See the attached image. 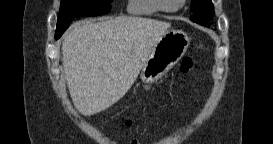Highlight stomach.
I'll return each instance as SVG.
<instances>
[{
    "instance_id": "obj_1",
    "label": "stomach",
    "mask_w": 273,
    "mask_h": 144,
    "mask_svg": "<svg viewBox=\"0 0 273 144\" xmlns=\"http://www.w3.org/2000/svg\"><path fill=\"white\" fill-rule=\"evenodd\" d=\"M189 44L190 39L184 31L167 30L155 43L144 63L141 80L153 83L162 78L185 54Z\"/></svg>"
}]
</instances>
